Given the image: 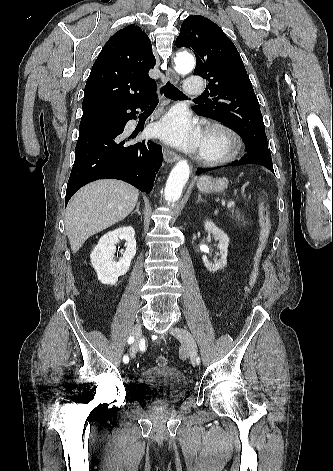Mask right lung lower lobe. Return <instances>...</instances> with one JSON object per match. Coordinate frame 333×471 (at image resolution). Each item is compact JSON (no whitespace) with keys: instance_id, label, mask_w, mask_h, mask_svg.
I'll use <instances>...</instances> for the list:
<instances>
[{"instance_id":"obj_1","label":"right lung lower lobe","mask_w":333,"mask_h":471,"mask_svg":"<svg viewBox=\"0 0 333 471\" xmlns=\"http://www.w3.org/2000/svg\"><path fill=\"white\" fill-rule=\"evenodd\" d=\"M155 90L133 104L113 108L81 120L75 161L67 184L65 205L83 185L102 178L119 179L150 193L162 165L160 145L143 140L134 143L124 133L126 123L136 119L155 99Z\"/></svg>"}]
</instances>
